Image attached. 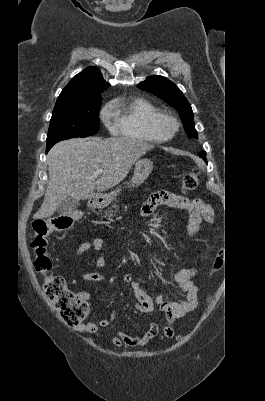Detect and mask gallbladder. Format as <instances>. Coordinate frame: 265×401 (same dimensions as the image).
Wrapping results in <instances>:
<instances>
[{
  "label": "gallbladder",
  "mask_w": 265,
  "mask_h": 401,
  "mask_svg": "<svg viewBox=\"0 0 265 401\" xmlns=\"http://www.w3.org/2000/svg\"><path fill=\"white\" fill-rule=\"evenodd\" d=\"M78 207H80V203L77 201V198L67 196V198H64V201H60L59 205H57V211L58 213H62V215H68V213H74Z\"/></svg>",
  "instance_id": "gallbladder-1"
}]
</instances>
